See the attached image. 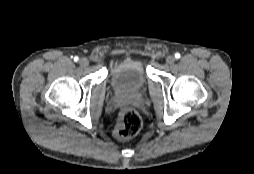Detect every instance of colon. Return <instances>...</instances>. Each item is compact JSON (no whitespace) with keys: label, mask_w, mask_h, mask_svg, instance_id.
<instances>
[{"label":"colon","mask_w":254,"mask_h":174,"mask_svg":"<svg viewBox=\"0 0 254 174\" xmlns=\"http://www.w3.org/2000/svg\"><path fill=\"white\" fill-rule=\"evenodd\" d=\"M141 127L142 120L138 113L133 109L125 108L119 114L114 136L119 140L128 139L135 136Z\"/></svg>","instance_id":"obj_1"}]
</instances>
